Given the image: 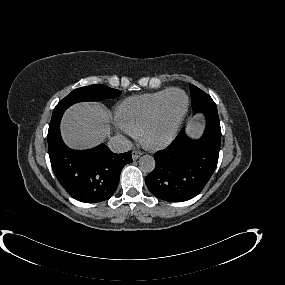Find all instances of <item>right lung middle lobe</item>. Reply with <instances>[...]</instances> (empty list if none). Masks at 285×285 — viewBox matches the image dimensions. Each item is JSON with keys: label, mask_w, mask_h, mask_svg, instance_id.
<instances>
[{"label": "right lung middle lobe", "mask_w": 285, "mask_h": 285, "mask_svg": "<svg viewBox=\"0 0 285 285\" xmlns=\"http://www.w3.org/2000/svg\"><path fill=\"white\" fill-rule=\"evenodd\" d=\"M121 94L117 89L109 88L105 85H90L75 89L54 108L53 115L64 112L68 107L82 101H99L115 98Z\"/></svg>", "instance_id": "1"}]
</instances>
